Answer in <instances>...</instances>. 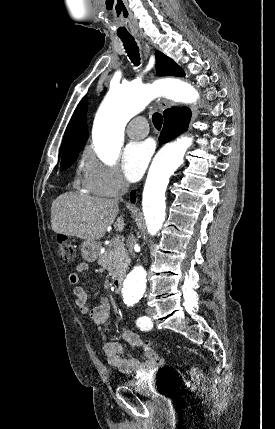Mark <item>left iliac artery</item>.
Masks as SVG:
<instances>
[{
  "label": "left iliac artery",
  "mask_w": 275,
  "mask_h": 429,
  "mask_svg": "<svg viewBox=\"0 0 275 429\" xmlns=\"http://www.w3.org/2000/svg\"><path fill=\"white\" fill-rule=\"evenodd\" d=\"M136 324L141 330H149L152 327V322L147 316L139 317Z\"/></svg>",
  "instance_id": "1"
}]
</instances>
